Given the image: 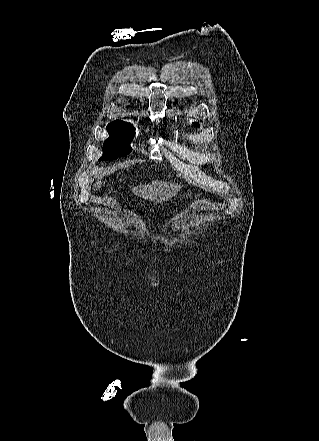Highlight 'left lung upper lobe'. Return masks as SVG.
<instances>
[{"mask_svg": "<svg viewBox=\"0 0 319 441\" xmlns=\"http://www.w3.org/2000/svg\"><path fill=\"white\" fill-rule=\"evenodd\" d=\"M195 125H196V126H199V124H198V123H195Z\"/></svg>", "mask_w": 319, "mask_h": 441, "instance_id": "1", "label": "left lung upper lobe"}]
</instances>
